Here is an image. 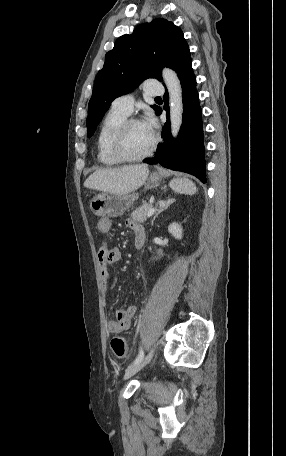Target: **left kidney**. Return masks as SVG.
I'll return each mask as SVG.
<instances>
[{
    "instance_id": "obj_1",
    "label": "left kidney",
    "mask_w": 286,
    "mask_h": 456,
    "mask_svg": "<svg viewBox=\"0 0 286 456\" xmlns=\"http://www.w3.org/2000/svg\"><path fill=\"white\" fill-rule=\"evenodd\" d=\"M168 232L173 236L175 237V239H182V233H183V230H182V227L181 225H179L178 223H172L169 225L168 227Z\"/></svg>"
}]
</instances>
